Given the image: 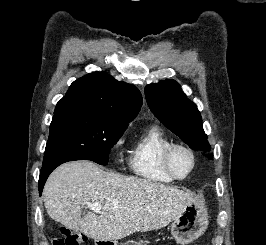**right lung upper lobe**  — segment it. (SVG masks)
I'll list each match as a JSON object with an SVG mask.
<instances>
[{
  "instance_id": "right-lung-upper-lobe-1",
  "label": "right lung upper lobe",
  "mask_w": 266,
  "mask_h": 245,
  "mask_svg": "<svg viewBox=\"0 0 266 245\" xmlns=\"http://www.w3.org/2000/svg\"><path fill=\"white\" fill-rule=\"evenodd\" d=\"M141 105L142 96L135 86L119 82L103 72H95L71 84L57 103L54 116L83 111L130 122L137 116Z\"/></svg>"
}]
</instances>
